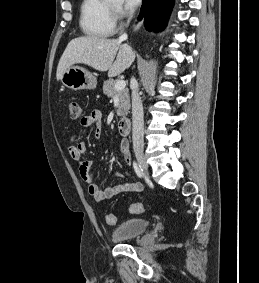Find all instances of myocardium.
Masks as SVG:
<instances>
[{
    "label": "myocardium",
    "instance_id": "obj_1",
    "mask_svg": "<svg viewBox=\"0 0 259 283\" xmlns=\"http://www.w3.org/2000/svg\"><path fill=\"white\" fill-rule=\"evenodd\" d=\"M113 12L117 11V8L115 6H112Z\"/></svg>",
    "mask_w": 259,
    "mask_h": 283
}]
</instances>
